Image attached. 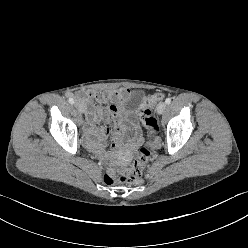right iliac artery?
Returning a JSON list of instances; mask_svg holds the SVG:
<instances>
[{
    "instance_id": "obj_1",
    "label": "right iliac artery",
    "mask_w": 248,
    "mask_h": 248,
    "mask_svg": "<svg viewBox=\"0 0 248 248\" xmlns=\"http://www.w3.org/2000/svg\"><path fill=\"white\" fill-rule=\"evenodd\" d=\"M68 101H69L70 104H73L74 103V99L73 98H69Z\"/></svg>"
}]
</instances>
